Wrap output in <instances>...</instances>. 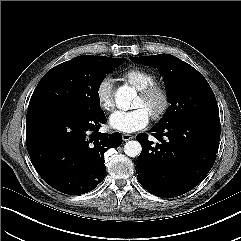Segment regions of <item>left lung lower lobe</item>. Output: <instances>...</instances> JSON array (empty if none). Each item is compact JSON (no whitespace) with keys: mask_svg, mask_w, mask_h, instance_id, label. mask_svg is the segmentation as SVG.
Here are the masks:
<instances>
[{"mask_svg":"<svg viewBox=\"0 0 241 241\" xmlns=\"http://www.w3.org/2000/svg\"><path fill=\"white\" fill-rule=\"evenodd\" d=\"M151 132L160 143L153 145L144 133L136 137L142 146L136 165L139 183L162 198L180 196L196 187L215 162L220 119L190 117L156 125Z\"/></svg>","mask_w":241,"mask_h":241,"instance_id":"1","label":"left lung lower lobe"}]
</instances>
